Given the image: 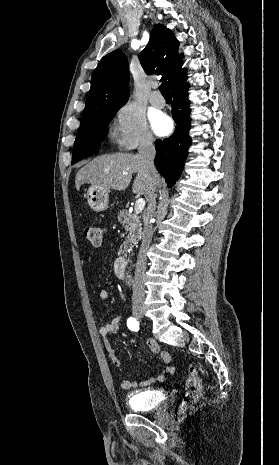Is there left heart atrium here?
Returning <instances> with one entry per match:
<instances>
[{"instance_id": "39dd6f15", "label": "left heart atrium", "mask_w": 279, "mask_h": 465, "mask_svg": "<svg viewBox=\"0 0 279 465\" xmlns=\"http://www.w3.org/2000/svg\"><path fill=\"white\" fill-rule=\"evenodd\" d=\"M152 128L158 135H166L171 131L172 122L170 118L162 113H158L152 117Z\"/></svg>"}]
</instances>
